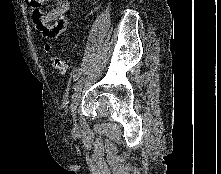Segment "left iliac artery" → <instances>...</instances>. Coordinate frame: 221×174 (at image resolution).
<instances>
[{"label":"left iliac artery","mask_w":221,"mask_h":174,"mask_svg":"<svg viewBox=\"0 0 221 174\" xmlns=\"http://www.w3.org/2000/svg\"><path fill=\"white\" fill-rule=\"evenodd\" d=\"M80 74H81V70L79 68L75 69V71L73 72L74 81L78 80V78L80 77Z\"/></svg>","instance_id":"left-iliac-artery-1"}]
</instances>
